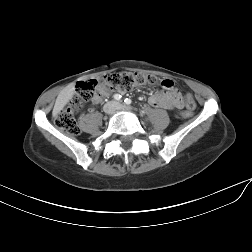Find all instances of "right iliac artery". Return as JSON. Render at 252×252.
Instances as JSON below:
<instances>
[{
	"mask_svg": "<svg viewBox=\"0 0 252 252\" xmlns=\"http://www.w3.org/2000/svg\"><path fill=\"white\" fill-rule=\"evenodd\" d=\"M114 99L119 101L121 99V95L120 94H115Z\"/></svg>",
	"mask_w": 252,
	"mask_h": 252,
	"instance_id": "right-iliac-artery-1",
	"label": "right iliac artery"
}]
</instances>
